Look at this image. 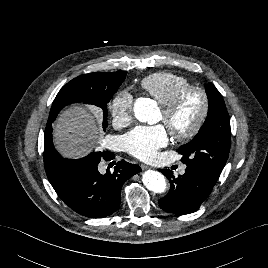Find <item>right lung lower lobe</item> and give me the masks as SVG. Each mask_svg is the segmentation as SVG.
I'll return each instance as SVG.
<instances>
[{"label":"right lung lower lobe","mask_w":268,"mask_h":268,"mask_svg":"<svg viewBox=\"0 0 268 268\" xmlns=\"http://www.w3.org/2000/svg\"><path fill=\"white\" fill-rule=\"evenodd\" d=\"M101 157L112 160L114 155L94 152L81 159L74 167L72 181L58 195L72 210L89 218H102L115 212L120 206L122 185L141 171L138 165L121 160L113 173L101 174L98 171Z\"/></svg>","instance_id":"obj_1"}]
</instances>
